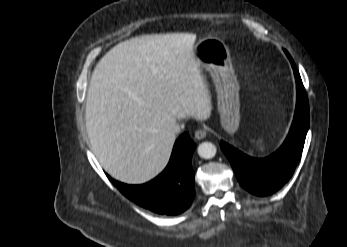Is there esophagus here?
Instances as JSON below:
<instances>
[{
	"mask_svg": "<svg viewBox=\"0 0 347 247\" xmlns=\"http://www.w3.org/2000/svg\"><path fill=\"white\" fill-rule=\"evenodd\" d=\"M207 135V131L205 129H198L195 131V138L197 140L204 139Z\"/></svg>",
	"mask_w": 347,
	"mask_h": 247,
	"instance_id": "1",
	"label": "esophagus"
}]
</instances>
